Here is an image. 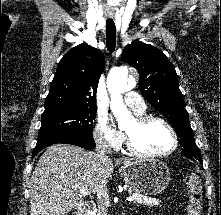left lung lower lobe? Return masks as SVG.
<instances>
[{"instance_id": "obj_1", "label": "left lung lower lobe", "mask_w": 221, "mask_h": 215, "mask_svg": "<svg viewBox=\"0 0 221 215\" xmlns=\"http://www.w3.org/2000/svg\"><path fill=\"white\" fill-rule=\"evenodd\" d=\"M195 160H198L199 162H202V159H195Z\"/></svg>"}]
</instances>
